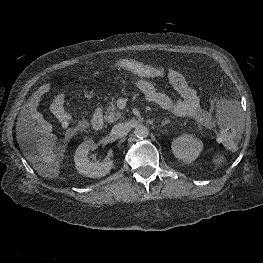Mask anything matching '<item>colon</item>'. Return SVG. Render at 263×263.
<instances>
[{"mask_svg":"<svg viewBox=\"0 0 263 263\" xmlns=\"http://www.w3.org/2000/svg\"><path fill=\"white\" fill-rule=\"evenodd\" d=\"M114 65L144 77L158 78L165 76L167 73V70L164 67L145 64L141 61L130 58L117 59L114 62ZM54 114L63 125L68 126L70 124V114L65 110L64 107L59 105L57 100L54 103ZM219 139L228 150L233 151L237 148L239 133L233 126L224 124L220 129Z\"/></svg>","mask_w":263,"mask_h":263,"instance_id":"obj_1","label":"colon"}]
</instances>
